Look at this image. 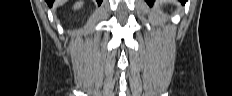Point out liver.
<instances>
[{
    "label": "liver",
    "instance_id": "obj_1",
    "mask_svg": "<svg viewBox=\"0 0 232 96\" xmlns=\"http://www.w3.org/2000/svg\"><path fill=\"white\" fill-rule=\"evenodd\" d=\"M65 1H66V0H56V1L54 2V5H55V6H60V5L64 4Z\"/></svg>",
    "mask_w": 232,
    "mask_h": 96
}]
</instances>
